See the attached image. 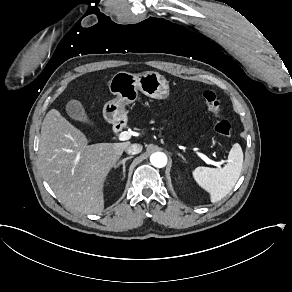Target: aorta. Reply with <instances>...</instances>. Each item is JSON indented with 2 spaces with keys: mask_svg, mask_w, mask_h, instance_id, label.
I'll list each match as a JSON object with an SVG mask.
<instances>
[{
  "mask_svg": "<svg viewBox=\"0 0 292 292\" xmlns=\"http://www.w3.org/2000/svg\"><path fill=\"white\" fill-rule=\"evenodd\" d=\"M150 162L153 166L162 168L167 164V157L164 153L157 152L150 156Z\"/></svg>",
  "mask_w": 292,
  "mask_h": 292,
  "instance_id": "aorta-1",
  "label": "aorta"
}]
</instances>
